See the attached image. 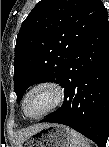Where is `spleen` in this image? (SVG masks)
Segmentation results:
<instances>
[{"mask_svg": "<svg viewBox=\"0 0 109 147\" xmlns=\"http://www.w3.org/2000/svg\"><path fill=\"white\" fill-rule=\"evenodd\" d=\"M70 147H90L88 141L76 132L75 130H71V145Z\"/></svg>", "mask_w": 109, "mask_h": 147, "instance_id": "3e777b00", "label": "spleen"}]
</instances>
